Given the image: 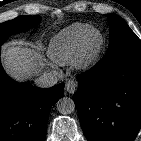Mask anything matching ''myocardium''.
<instances>
[{"label": "myocardium", "instance_id": "obj_1", "mask_svg": "<svg viewBox=\"0 0 141 141\" xmlns=\"http://www.w3.org/2000/svg\"><path fill=\"white\" fill-rule=\"evenodd\" d=\"M93 34L99 36V42L95 47H91L90 39ZM105 46L103 34L95 28H91L84 36L79 52L75 59V64L79 69H88L92 67L100 58Z\"/></svg>", "mask_w": 141, "mask_h": 141}]
</instances>
